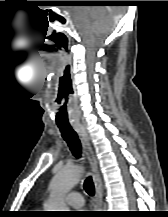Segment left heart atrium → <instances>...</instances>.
<instances>
[{
    "label": "left heart atrium",
    "mask_w": 168,
    "mask_h": 217,
    "mask_svg": "<svg viewBox=\"0 0 168 217\" xmlns=\"http://www.w3.org/2000/svg\"><path fill=\"white\" fill-rule=\"evenodd\" d=\"M79 215H81V216H82V215H85V214L81 213V214H79Z\"/></svg>",
    "instance_id": "obj_1"
}]
</instances>
